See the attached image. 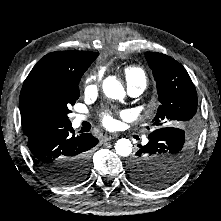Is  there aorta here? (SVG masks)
Returning a JSON list of instances; mask_svg holds the SVG:
<instances>
[{
  "label": "aorta",
  "instance_id": "aorta-1",
  "mask_svg": "<svg viewBox=\"0 0 221 221\" xmlns=\"http://www.w3.org/2000/svg\"><path fill=\"white\" fill-rule=\"evenodd\" d=\"M104 94L112 99H123L125 95L122 84L115 76H109L103 81ZM115 151L119 156H129L132 153V143L129 139L121 138L115 143Z\"/></svg>",
  "mask_w": 221,
  "mask_h": 221
}]
</instances>
